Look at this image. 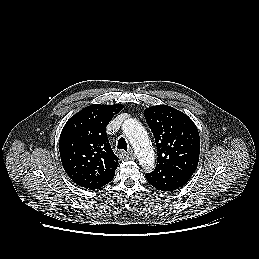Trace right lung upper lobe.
I'll list each match as a JSON object with an SVG mask.
<instances>
[{"label": "right lung upper lobe", "mask_w": 259, "mask_h": 259, "mask_svg": "<svg viewBox=\"0 0 259 259\" xmlns=\"http://www.w3.org/2000/svg\"><path fill=\"white\" fill-rule=\"evenodd\" d=\"M124 106L90 105L65 124L59 140L61 162L79 186L95 189L112 179L118 158L108 141L106 126Z\"/></svg>", "instance_id": "obj_1"}]
</instances>
